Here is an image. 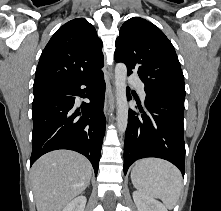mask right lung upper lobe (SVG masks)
I'll return each instance as SVG.
<instances>
[{"label":"right lung upper lobe","mask_w":221,"mask_h":211,"mask_svg":"<svg viewBox=\"0 0 221 211\" xmlns=\"http://www.w3.org/2000/svg\"><path fill=\"white\" fill-rule=\"evenodd\" d=\"M102 41L92 24L74 19L58 29L43 50L33 89L41 92L101 71Z\"/></svg>","instance_id":"right-lung-upper-lobe-1"}]
</instances>
